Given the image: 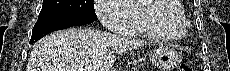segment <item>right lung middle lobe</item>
<instances>
[{
	"label": "right lung middle lobe",
	"mask_w": 230,
	"mask_h": 71,
	"mask_svg": "<svg viewBox=\"0 0 230 71\" xmlns=\"http://www.w3.org/2000/svg\"><path fill=\"white\" fill-rule=\"evenodd\" d=\"M93 2L94 0H44L38 20L69 16L97 18Z\"/></svg>",
	"instance_id": "dd1d6c3e"
}]
</instances>
